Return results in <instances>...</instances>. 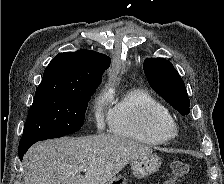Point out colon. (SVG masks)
I'll use <instances>...</instances> for the list:
<instances>
[{
	"label": "colon",
	"mask_w": 224,
	"mask_h": 184,
	"mask_svg": "<svg viewBox=\"0 0 224 184\" xmlns=\"http://www.w3.org/2000/svg\"><path fill=\"white\" fill-rule=\"evenodd\" d=\"M191 173V166L183 161L175 160L170 165V177L164 184H178Z\"/></svg>",
	"instance_id": "1"
}]
</instances>
